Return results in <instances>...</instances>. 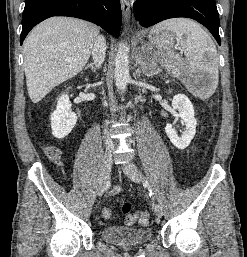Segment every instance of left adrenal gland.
<instances>
[{"label": "left adrenal gland", "mask_w": 247, "mask_h": 257, "mask_svg": "<svg viewBox=\"0 0 247 257\" xmlns=\"http://www.w3.org/2000/svg\"><path fill=\"white\" fill-rule=\"evenodd\" d=\"M160 72H161V69H157V70L153 69V70L147 72L146 76L147 77H153V76L157 75Z\"/></svg>", "instance_id": "a2214340"}]
</instances>
